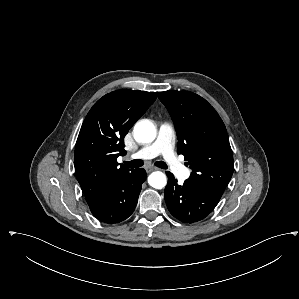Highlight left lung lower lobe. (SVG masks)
<instances>
[{
	"label": "left lung lower lobe",
	"instance_id": "0a47b994",
	"mask_svg": "<svg viewBox=\"0 0 299 299\" xmlns=\"http://www.w3.org/2000/svg\"><path fill=\"white\" fill-rule=\"evenodd\" d=\"M165 201L170 213L182 222L193 223L204 219L218 204L220 197L205 188L185 180L178 185L173 174L166 172Z\"/></svg>",
	"mask_w": 299,
	"mask_h": 299
}]
</instances>
